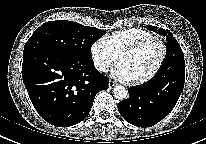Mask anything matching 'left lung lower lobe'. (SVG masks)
Segmentation results:
<instances>
[{"instance_id":"left-lung-lower-lobe-1","label":"left lung lower lobe","mask_w":206,"mask_h":144,"mask_svg":"<svg viewBox=\"0 0 206 144\" xmlns=\"http://www.w3.org/2000/svg\"><path fill=\"white\" fill-rule=\"evenodd\" d=\"M185 67H173L158 78L129 88V98L118 104L121 116L132 125L151 127L175 107L184 88Z\"/></svg>"}]
</instances>
